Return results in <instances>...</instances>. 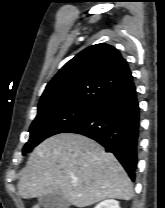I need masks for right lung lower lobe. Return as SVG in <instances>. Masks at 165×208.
I'll list each match as a JSON object with an SVG mask.
<instances>
[{
	"mask_svg": "<svg viewBox=\"0 0 165 208\" xmlns=\"http://www.w3.org/2000/svg\"><path fill=\"white\" fill-rule=\"evenodd\" d=\"M139 110L136 87L131 81L99 100L82 121L66 132L82 134L100 143L117 157L134 181Z\"/></svg>",
	"mask_w": 165,
	"mask_h": 208,
	"instance_id": "obj_1",
	"label": "right lung lower lobe"
}]
</instances>
